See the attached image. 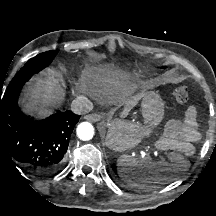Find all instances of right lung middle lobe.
<instances>
[{
    "label": "right lung middle lobe",
    "mask_w": 216,
    "mask_h": 216,
    "mask_svg": "<svg viewBox=\"0 0 216 216\" xmlns=\"http://www.w3.org/2000/svg\"><path fill=\"white\" fill-rule=\"evenodd\" d=\"M56 55L55 50L47 51L41 53L34 58L30 59L24 67H22L19 72L12 79L11 83L7 87L2 98H5L11 94H16L20 92L23 85L35 74L47 67L54 56ZM1 100V95H0Z\"/></svg>",
    "instance_id": "1"
}]
</instances>
